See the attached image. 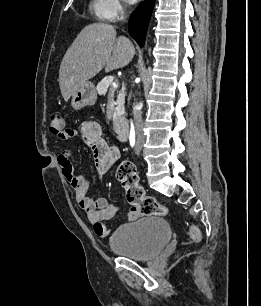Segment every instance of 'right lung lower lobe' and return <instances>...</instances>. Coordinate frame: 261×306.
<instances>
[{
  "label": "right lung lower lobe",
  "instance_id": "obj_1",
  "mask_svg": "<svg viewBox=\"0 0 261 306\" xmlns=\"http://www.w3.org/2000/svg\"><path fill=\"white\" fill-rule=\"evenodd\" d=\"M154 2L155 0H144L129 18V33L140 47L144 45V38Z\"/></svg>",
  "mask_w": 261,
  "mask_h": 306
}]
</instances>
